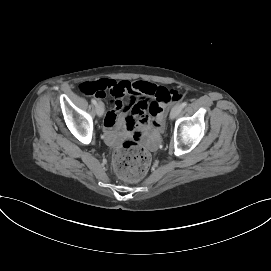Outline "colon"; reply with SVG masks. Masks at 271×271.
<instances>
[{
	"mask_svg": "<svg viewBox=\"0 0 271 271\" xmlns=\"http://www.w3.org/2000/svg\"><path fill=\"white\" fill-rule=\"evenodd\" d=\"M86 95L100 97L107 91L104 80L85 82L80 86ZM157 98L161 101L177 102L181 99L179 92L175 90L160 89ZM151 162L150 153L132 140H127L115 153L113 168L115 173L123 180L135 182L145 176Z\"/></svg>",
	"mask_w": 271,
	"mask_h": 271,
	"instance_id": "5ec220e1",
	"label": "colon"
}]
</instances>
